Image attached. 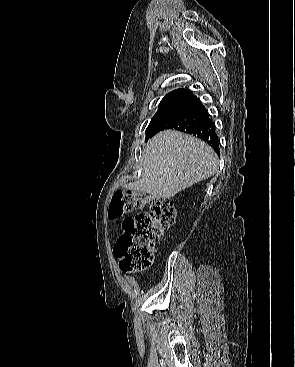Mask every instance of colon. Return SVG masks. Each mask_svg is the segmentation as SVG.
Instances as JSON below:
<instances>
[{
    "label": "colon",
    "mask_w": 295,
    "mask_h": 367,
    "mask_svg": "<svg viewBox=\"0 0 295 367\" xmlns=\"http://www.w3.org/2000/svg\"><path fill=\"white\" fill-rule=\"evenodd\" d=\"M147 203H150L149 211L124 219L122 233L116 241L115 255L123 272L137 271L151 265L155 246L164 230L175 222L176 208L170 199L143 197L122 190H118L112 198L110 218H118Z\"/></svg>",
    "instance_id": "obj_1"
}]
</instances>
